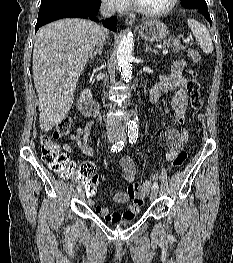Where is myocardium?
Segmentation results:
<instances>
[{"label": "myocardium", "mask_w": 233, "mask_h": 263, "mask_svg": "<svg viewBox=\"0 0 233 263\" xmlns=\"http://www.w3.org/2000/svg\"><path fill=\"white\" fill-rule=\"evenodd\" d=\"M178 0H171L169 5L159 11H148L144 8H142L136 0H133V8L136 12H138L139 14L146 16V17H151V18H156V17H162L168 13H170L177 5Z\"/></svg>", "instance_id": "f54148a6"}]
</instances>
